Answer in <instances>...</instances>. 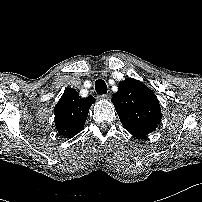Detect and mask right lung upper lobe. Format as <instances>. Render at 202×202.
<instances>
[{
	"mask_svg": "<svg viewBox=\"0 0 202 202\" xmlns=\"http://www.w3.org/2000/svg\"><path fill=\"white\" fill-rule=\"evenodd\" d=\"M93 96L81 98L75 89L68 88L55 106V126L59 134L72 137L78 134L85 125Z\"/></svg>",
	"mask_w": 202,
	"mask_h": 202,
	"instance_id": "1",
	"label": "right lung upper lobe"
}]
</instances>
